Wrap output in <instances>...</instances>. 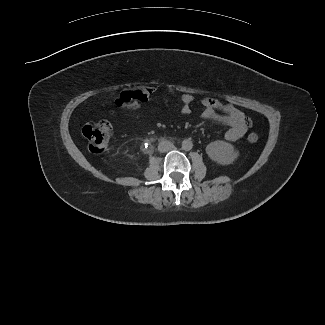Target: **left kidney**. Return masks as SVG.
Here are the masks:
<instances>
[{"label":"left kidney","instance_id":"left-kidney-1","mask_svg":"<svg viewBox=\"0 0 325 325\" xmlns=\"http://www.w3.org/2000/svg\"><path fill=\"white\" fill-rule=\"evenodd\" d=\"M206 153L213 161L221 165L232 164L239 156L232 144L225 141H214L207 145Z\"/></svg>","mask_w":325,"mask_h":325}]
</instances>
